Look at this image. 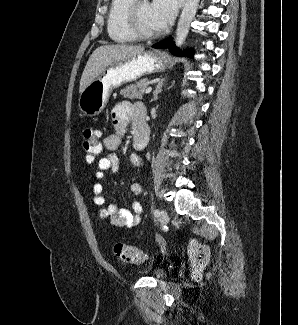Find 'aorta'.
<instances>
[{
    "label": "aorta",
    "mask_w": 298,
    "mask_h": 325,
    "mask_svg": "<svg viewBox=\"0 0 298 325\" xmlns=\"http://www.w3.org/2000/svg\"><path fill=\"white\" fill-rule=\"evenodd\" d=\"M144 2H147V0H144ZM198 4L199 0H185L174 36L176 48H181L182 44H184L190 30V22L195 18Z\"/></svg>",
    "instance_id": "aorta-1"
}]
</instances>
